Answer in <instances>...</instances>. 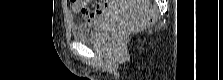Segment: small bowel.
<instances>
[{"mask_svg":"<svg viewBox=\"0 0 223 80\" xmlns=\"http://www.w3.org/2000/svg\"><path fill=\"white\" fill-rule=\"evenodd\" d=\"M88 6L91 10L87 12L86 14H82L79 7L76 4L73 5V8H74V11L80 13L86 20L94 21L98 19L101 15L106 13V11H108L113 6V3L110 1H104V2L98 3L95 6H90L88 3Z\"/></svg>","mask_w":223,"mask_h":80,"instance_id":"c3829d8e","label":"small bowel"}]
</instances>
